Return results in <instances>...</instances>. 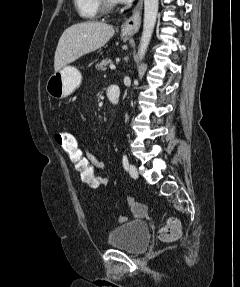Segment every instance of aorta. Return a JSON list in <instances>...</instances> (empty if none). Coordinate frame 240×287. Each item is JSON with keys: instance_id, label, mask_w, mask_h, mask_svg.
<instances>
[{"instance_id": "762f6f07", "label": "aorta", "mask_w": 240, "mask_h": 287, "mask_svg": "<svg viewBox=\"0 0 240 287\" xmlns=\"http://www.w3.org/2000/svg\"><path fill=\"white\" fill-rule=\"evenodd\" d=\"M159 0H144L143 32L140 39L138 57L142 60L148 49L158 14Z\"/></svg>"}]
</instances>
